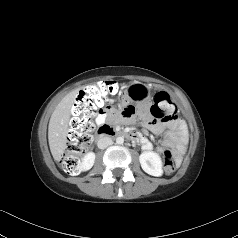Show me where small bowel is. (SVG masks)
Returning <instances> with one entry per match:
<instances>
[{"instance_id": "c3829d8e", "label": "small bowel", "mask_w": 238, "mask_h": 238, "mask_svg": "<svg viewBox=\"0 0 238 238\" xmlns=\"http://www.w3.org/2000/svg\"><path fill=\"white\" fill-rule=\"evenodd\" d=\"M139 113L143 118L144 126L155 134H163V142L158 148L159 153H164L166 150H174L175 153L180 154L184 151L187 144V130L184 123L179 119H174L167 124L160 122L157 118H149L147 108L142 105L139 109ZM112 112L108 110H102L96 117V123L103 125ZM131 117V116H130ZM138 136L137 142L142 145L145 151L152 149V143L148 138L143 136L141 133H135Z\"/></svg>"}]
</instances>
